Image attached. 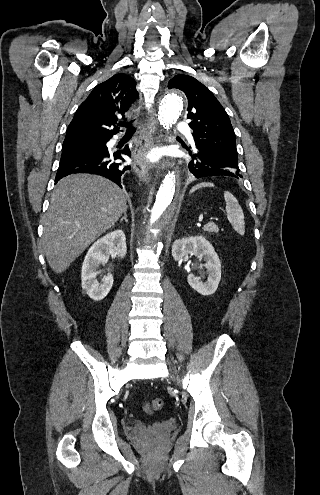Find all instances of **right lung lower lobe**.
Masks as SVG:
<instances>
[{
	"instance_id": "98d812e1",
	"label": "right lung lower lobe",
	"mask_w": 320,
	"mask_h": 495,
	"mask_svg": "<svg viewBox=\"0 0 320 495\" xmlns=\"http://www.w3.org/2000/svg\"><path fill=\"white\" fill-rule=\"evenodd\" d=\"M111 137L105 138V142L101 146L63 148L55 183L72 173H90L106 177L122 187L121 178L125 171L131 169V167H122L121 163L113 161L116 159L124 161V159L121 157L120 152L112 153L108 151L106 142ZM122 153L129 157L131 155L128 146H125Z\"/></svg>"
}]
</instances>
